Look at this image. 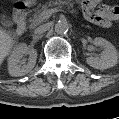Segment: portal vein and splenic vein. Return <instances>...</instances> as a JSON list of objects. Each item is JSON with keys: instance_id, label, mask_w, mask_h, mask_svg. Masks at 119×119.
Instances as JSON below:
<instances>
[{"instance_id": "18ae733b", "label": "portal vein and splenic vein", "mask_w": 119, "mask_h": 119, "mask_svg": "<svg viewBox=\"0 0 119 119\" xmlns=\"http://www.w3.org/2000/svg\"><path fill=\"white\" fill-rule=\"evenodd\" d=\"M59 11H60L59 8H52V9L45 10L40 14V19L41 20L48 19L53 13L59 12Z\"/></svg>"}]
</instances>
